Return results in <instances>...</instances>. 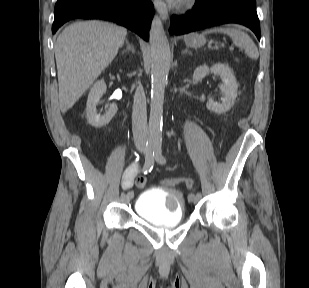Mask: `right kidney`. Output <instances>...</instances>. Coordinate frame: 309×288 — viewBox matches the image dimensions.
<instances>
[{"label":"right kidney","mask_w":309,"mask_h":288,"mask_svg":"<svg viewBox=\"0 0 309 288\" xmlns=\"http://www.w3.org/2000/svg\"><path fill=\"white\" fill-rule=\"evenodd\" d=\"M105 92L106 83L104 80H99L91 87L88 96L86 107L87 121L96 128L107 125L117 112V105L112 103L104 115L100 116L97 114L96 106Z\"/></svg>","instance_id":"right-kidney-1"}]
</instances>
